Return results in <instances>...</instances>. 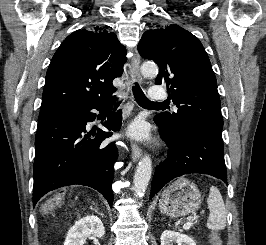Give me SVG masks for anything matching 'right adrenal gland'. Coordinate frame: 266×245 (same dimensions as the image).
<instances>
[{
  "label": "right adrenal gland",
  "mask_w": 266,
  "mask_h": 245,
  "mask_svg": "<svg viewBox=\"0 0 266 245\" xmlns=\"http://www.w3.org/2000/svg\"><path fill=\"white\" fill-rule=\"evenodd\" d=\"M91 209H92V211H95V213H98V209H97L96 205L94 207L93 203L91 205ZM99 215H103V213H99Z\"/></svg>",
  "instance_id": "obj_1"
}]
</instances>
